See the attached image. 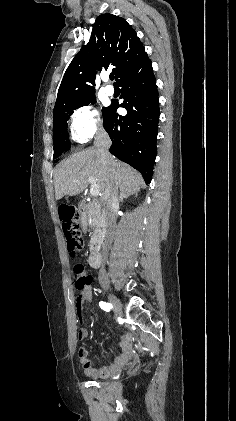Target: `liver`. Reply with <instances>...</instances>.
Returning <instances> with one entry per match:
<instances>
[{
    "label": "liver",
    "instance_id": "obj_1",
    "mask_svg": "<svg viewBox=\"0 0 236 421\" xmlns=\"http://www.w3.org/2000/svg\"><path fill=\"white\" fill-rule=\"evenodd\" d=\"M111 168H115V176H112ZM88 176L95 178L102 200H104L105 188L109 182L114 188H120L125 196L137 194L140 184H145L140 172L134 170L132 166L114 160L113 156L109 158V164H103L99 150L90 146L87 150L74 152L54 168L56 200L65 194L73 196V194L83 192L89 184Z\"/></svg>",
    "mask_w": 236,
    "mask_h": 421
}]
</instances>
